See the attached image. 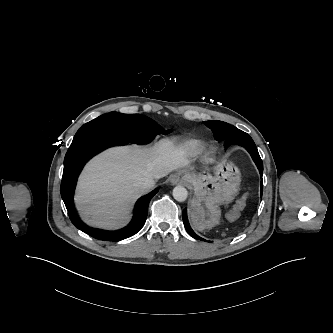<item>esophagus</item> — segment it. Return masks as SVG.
<instances>
[{
  "label": "esophagus",
  "instance_id": "1",
  "mask_svg": "<svg viewBox=\"0 0 333 333\" xmlns=\"http://www.w3.org/2000/svg\"><path fill=\"white\" fill-rule=\"evenodd\" d=\"M170 181L173 185L180 184L185 181V177L182 176L181 174H174L171 176Z\"/></svg>",
  "mask_w": 333,
  "mask_h": 333
}]
</instances>
